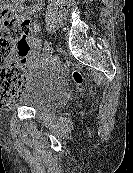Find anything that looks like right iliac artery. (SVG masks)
<instances>
[{"instance_id":"right-iliac-artery-1","label":"right iliac artery","mask_w":133,"mask_h":173,"mask_svg":"<svg viewBox=\"0 0 133 173\" xmlns=\"http://www.w3.org/2000/svg\"><path fill=\"white\" fill-rule=\"evenodd\" d=\"M44 49L48 51L50 49V44L48 42L44 43Z\"/></svg>"}]
</instances>
